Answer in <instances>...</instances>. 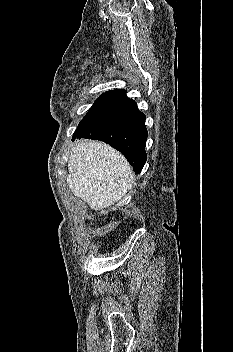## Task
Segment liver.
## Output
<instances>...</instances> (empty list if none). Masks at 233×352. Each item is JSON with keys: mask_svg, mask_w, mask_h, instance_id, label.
<instances>
[{"mask_svg": "<svg viewBox=\"0 0 233 352\" xmlns=\"http://www.w3.org/2000/svg\"><path fill=\"white\" fill-rule=\"evenodd\" d=\"M71 192L91 209L108 208L132 187L134 174L125 157L100 141H81L68 162Z\"/></svg>", "mask_w": 233, "mask_h": 352, "instance_id": "liver-1", "label": "liver"}]
</instances>
